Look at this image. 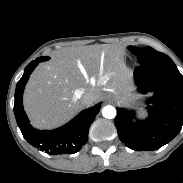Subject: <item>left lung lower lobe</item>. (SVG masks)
I'll return each mask as SVG.
<instances>
[{
  "label": "left lung lower lobe",
  "mask_w": 183,
  "mask_h": 183,
  "mask_svg": "<svg viewBox=\"0 0 183 183\" xmlns=\"http://www.w3.org/2000/svg\"><path fill=\"white\" fill-rule=\"evenodd\" d=\"M134 80L140 92H154L147 101L149 117L133 122L134 111L117 108L118 136L132 150H157L174 139L182 128L183 76L171 60L137 67Z\"/></svg>",
  "instance_id": "obj_1"
}]
</instances>
